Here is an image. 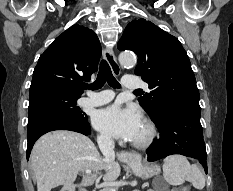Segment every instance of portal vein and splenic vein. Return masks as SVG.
<instances>
[{
    "instance_id": "1",
    "label": "portal vein and splenic vein",
    "mask_w": 233,
    "mask_h": 191,
    "mask_svg": "<svg viewBox=\"0 0 233 191\" xmlns=\"http://www.w3.org/2000/svg\"><path fill=\"white\" fill-rule=\"evenodd\" d=\"M85 173L86 174H91V170H85ZM110 191H115V189H111ZM149 191H151V190H149Z\"/></svg>"
}]
</instances>
